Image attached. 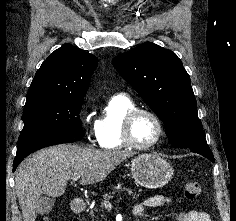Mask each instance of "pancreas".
<instances>
[{
    "label": "pancreas",
    "instance_id": "1",
    "mask_svg": "<svg viewBox=\"0 0 236 221\" xmlns=\"http://www.w3.org/2000/svg\"><path fill=\"white\" fill-rule=\"evenodd\" d=\"M115 189H117V187H115ZM119 191H127L129 194H132L133 192H132V190L130 189V188H125V187H123V188H120L119 189ZM117 191L116 190H114L113 192H112V194H115ZM111 198H113V195H111V193H106L105 195H104V199L106 200V199H111ZM103 206H104V201L103 202H101V204L99 205V206H95V207H93L91 210H90V216H91V218H92V221H102L100 218H99V216H98V214L99 213H101V211H102V209H103Z\"/></svg>",
    "mask_w": 236,
    "mask_h": 221
}]
</instances>
